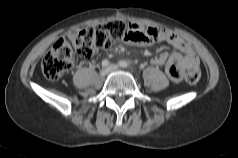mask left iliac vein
<instances>
[{"mask_svg": "<svg viewBox=\"0 0 238 158\" xmlns=\"http://www.w3.org/2000/svg\"><path fill=\"white\" fill-rule=\"evenodd\" d=\"M119 69V67L115 64H111L109 67H108V72H113V71H117Z\"/></svg>", "mask_w": 238, "mask_h": 158, "instance_id": "obj_1", "label": "left iliac vein"}]
</instances>
